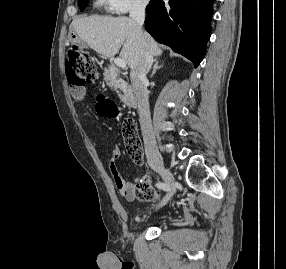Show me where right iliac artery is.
I'll return each mask as SVG.
<instances>
[{"instance_id": "obj_1", "label": "right iliac artery", "mask_w": 286, "mask_h": 269, "mask_svg": "<svg viewBox=\"0 0 286 269\" xmlns=\"http://www.w3.org/2000/svg\"><path fill=\"white\" fill-rule=\"evenodd\" d=\"M156 186L163 190H169V187L165 183H162V182L157 183Z\"/></svg>"}]
</instances>
